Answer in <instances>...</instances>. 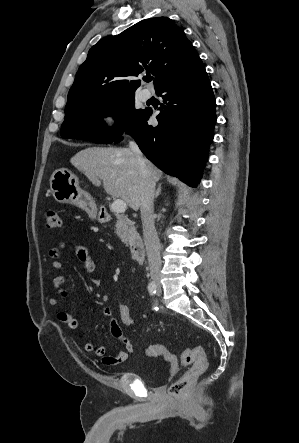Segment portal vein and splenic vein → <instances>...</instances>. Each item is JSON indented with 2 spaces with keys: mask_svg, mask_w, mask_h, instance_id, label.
<instances>
[{
  "mask_svg": "<svg viewBox=\"0 0 299 443\" xmlns=\"http://www.w3.org/2000/svg\"><path fill=\"white\" fill-rule=\"evenodd\" d=\"M111 209L118 214L124 213L127 209V205H126L125 201H123L121 199H117L112 203Z\"/></svg>",
  "mask_w": 299,
  "mask_h": 443,
  "instance_id": "portal-vein-and-splenic-vein-1",
  "label": "portal vein and splenic vein"
}]
</instances>
